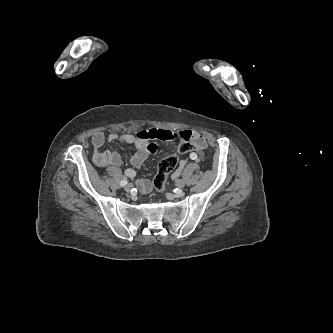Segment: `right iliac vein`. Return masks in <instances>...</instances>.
I'll list each match as a JSON object with an SVG mask.
<instances>
[{
	"mask_svg": "<svg viewBox=\"0 0 333 333\" xmlns=\"http://www.w3.org/2000/svg\"><path fill=\"white\" fill-rule=\"evenodd\" d=\"M132 187H133L132 184L129 183L125 186V190L129 192L132 189Z\"/></svg>",
	"mask_w": 333,
	"mask_h": 333,
	"instance_id": "63e3f726",
	"label": "right iliac vein"
}]
</instances>
